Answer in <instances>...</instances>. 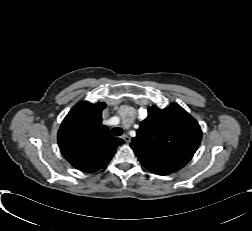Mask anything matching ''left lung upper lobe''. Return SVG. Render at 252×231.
I'll use <instances>...</instances> for the list:
<instances>
[{"mask_svg":"<svg viewBox=\"0 0 252 231\" xmlns=\"http://www.w3.org/2000/svg\"><path fill=\"white\" fill-rule=\"evenodd\" d=\"M198 122L176 103L165 109L148 108L130 144L140 162L186 165L201 141Z\"/></svg>","mask_w":252,"mask_h":231,"instance_id":"left-lung-upper-lobe-1","label":"left lung upper lobe"}]
</instances>
